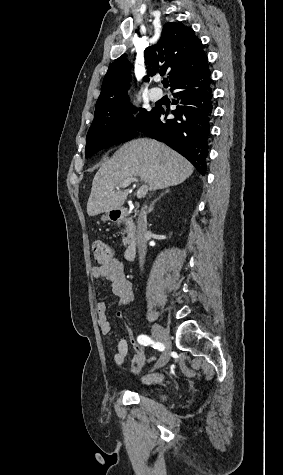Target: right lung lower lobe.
Returning a JSON list of instances; mask_svg holds the SVG:
<instances>
[{
  "label": "right lung lower lobe",
  "instance_id": "98d812e1",
  "mask_svg": "<svg viewBox=\"0 0 283 475\" xmlns=\"http://www.w3.org/2000/svg\"><path fill=\"white\" fill-rule=\"evenodd\" d=\"M210 70L190 75L171 86L178 104L168 119V110L156 107L154 115L140 130L147 136L166 143L186 157L204 175L208 155L207 140L213 112Z\"/></svg>",
  "mask_w": 283,
  "mask_h": 475
}]
</instances>
